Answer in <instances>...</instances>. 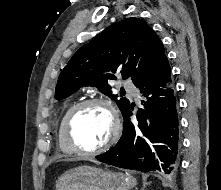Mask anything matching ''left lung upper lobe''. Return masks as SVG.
Returning a JSON list of instances; mask_svg holds the SVG:
<instances>
[{
	"instance_id": "obj_1",
	"label": "left lung upper lobe",
	"mask_w": 221,
	"mask_h": 190,
	"mask_svg": "<svg viewBox=\"0 0 221 190\" xmlns=\"http://www.w3.org/2000/svg\"><path fill=\"white\" fill-rule=\"evenodd\" d=\"M164 52L161 40L144 20L126 18L106 28L73 55L58 78L55 98L64 99L83 86L97 87L116 101L123 114L130 102L112 95L108 81L120 74L135 85L158 64Z\"/></svg>"
}]
</instances>
